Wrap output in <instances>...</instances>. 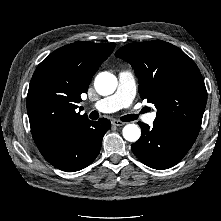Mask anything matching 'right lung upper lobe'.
I'll return each instance as SVG.
<instances>
[{
	"mask_svg": "<svg viewBox=\"0 0 221 221\" xmlns=\"http://www.w3.org/2000/svg\"><path fill=\"white\" fill-rule=\"evenodd\" d=\"M115 43L87 41L65 45L36 68L28 90L27 112L36 145L88 121L76 112L92 76L109 57Z\"/></svg>",
	"mask_w": 221,
	"mask_h": 221,
	"instance_id": "obj_1",
	"label": "right lung upper lobe"
}]
</instances>
